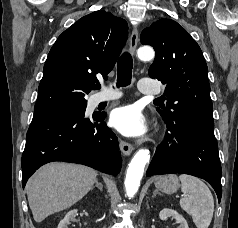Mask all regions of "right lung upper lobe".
Wrapping results in <instances>:
<instances>
[{"instance_id":"1","label":"right lung upper lobe","mask_w":238,"mask_h":228,"mask_svg":"<svg viewBox=\"0 0 238 228\" xmlns=\"http://www.w3.org/2000/svg\"><path fill=\"white\" fill-rule=\"evenodd\" d=\"M127 37L126 21L106 11L88 14L64 31L45 62L35 114L85 102L96 74L107 78Z\"/></svg>"}]
</instances>
